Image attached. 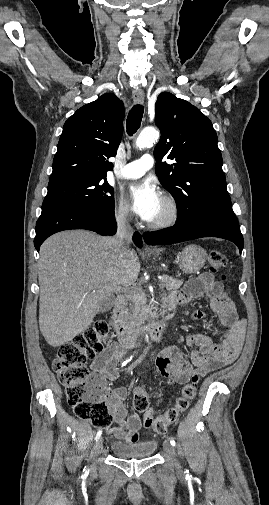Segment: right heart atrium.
Returning a JSON list of instances; mask_svg holds the SVG:
<instances>
[{
	"mask_svg": "<svg viewBox=\"0 0 269 505\" xmlns=\"http://www.w3.org/2000/svg\"><path fill=\"white\" fill-rule=\"evenodd\" d=\"M116 218L121 223H129L132 219L131 211L123 200H118L115 204Z\"/></svg>",
	"mask_w": 269,
	"mask_h": 505,
	"instance_id": "1",
	"label": "right heart atrium"
}]
</instances>
